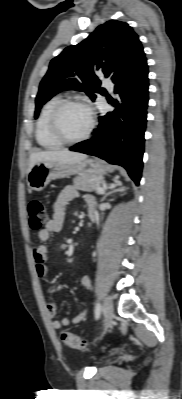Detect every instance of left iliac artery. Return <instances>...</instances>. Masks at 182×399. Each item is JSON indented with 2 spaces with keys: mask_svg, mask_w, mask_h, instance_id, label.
<instances>
[{
  "mask_svg": "<svg viewBox=\"0 0 182 399\" xmlns=\"http://www.w3.org/2000/svg\"><path fill=\"white\" fill-rule=\"evenodd\" d=\"M101 308H102L101 304L99 302H97L96 306H95V310H94L95 319L99 318L100 312H101Z\"/></svg>",
  "mask_w": 182,
  "mask_h": 399,
  "instance_id": "obj_1",
  "label": "left iliac artery"
}]
</instances>
